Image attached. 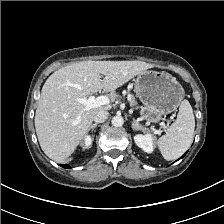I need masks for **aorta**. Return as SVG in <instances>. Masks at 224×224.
Masks as SVG:
<instances>
[{
  "mask_svg": "<svg viewBox=\"0 0 224 224\" xmlns=\"http://www.w3.org/2000/svg\"><path fill=\"white\" fill-rule=\"evenodd\" d=\"M111 123L114 127H121L124 123L122 116H114L111 120Z\"/></svg>",
  "mask_w": 224,
  "mask_h": 224,
  "instance_id": "obj_1",
  "label": "aorta"
}]
</instances>
